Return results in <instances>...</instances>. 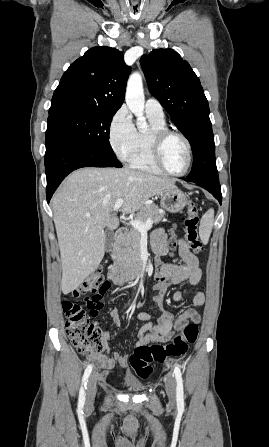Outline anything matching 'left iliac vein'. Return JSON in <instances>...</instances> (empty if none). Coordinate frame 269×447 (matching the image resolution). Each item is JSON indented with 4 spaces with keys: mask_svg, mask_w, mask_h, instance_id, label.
Returning <instances> with one entry per match:
<instances>
[{
    "mask_svg": "<svg viewBox=\"0 0 269 447\" xmlns=\"http://www.w3.org/2000/svg\"><path fill=\"white\" fill-rule=\"evenodd\" d=\"M165 390L171 403L175 402L176 382L171 373L167 374L165 381Z\"/></svg>",
    "mask_w": 269,
    "mask_h": 447,
    "instance_id": "obj_1",
    "label": "left iliac vein"
}]
</instances>
